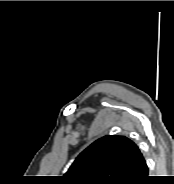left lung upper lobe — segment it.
I'll return each mask as SVG.
<instances>
[{"label":"left lung upper lobe","instance_id":"left-lung-upper-lobe-1","mask_svg":"<svg viewBox=\"0 0 174 184\" xmlns=\"http://www.w3.org/2000/svg\"><path fill=\"white\" fill-rule=\"evenodd\" d=\"M139 154L127 137L107 135L80 153L64 176L69 184H127Z\"/></svg>","mask_w":174,"mask_h":184}]
</instances>
